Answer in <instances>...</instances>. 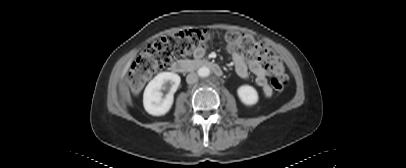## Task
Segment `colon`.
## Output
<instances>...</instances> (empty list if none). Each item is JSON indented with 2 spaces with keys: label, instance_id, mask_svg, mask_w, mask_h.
I'll use <instances>...</instances> for the list:
<instances>
[{
  "label": "colon",
  "instance_id": "obj_1",
  "mask_svg": "<svg viewBox=\"0 0 406 168\" xmlns=\"http://www.w3.org/2000/svg\"><path fill=\"white\" fill-rule=\"evenodd\" d=\"M223 37L228 46L245 57L264 59L270 71V82L273 89L278 93L284 90L287 75L283 63L265 42L257 41L251 35L236 31L225 32ZM211 38L212 33L206 29L190 28L155 40L130 66L126 81L131 90L134 93L140 91L156 71L199 48H204Z\"/></svg>",
  "mask_w": 406,
  "mask_h": 168
}]
</instances>
